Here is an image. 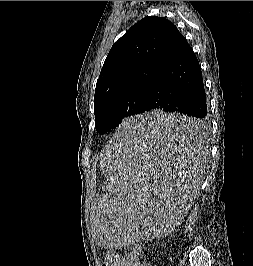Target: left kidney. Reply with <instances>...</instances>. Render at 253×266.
Returning <instances> with one entry per match:
<instances>
[{
  "label": "left kidney",
  "mask_w": 253,
  "mask_h": 266,
  "mask_svg": "<svg viewBox=\"0 0 253 266\" xmlns=\"http://www.w3.org/2000/svg\"><path fill=\"white\" fill-rule=\"evenodd\" d=\"M190 203H191V202H189V204L187 205V208L190 207ZM187 208H186V210H187ZM176 222H177V219H174V224H173V225H175Z\"/></svg>",
  "instance_id": "5707ae66"
}]
</instances>
